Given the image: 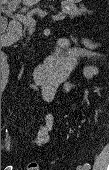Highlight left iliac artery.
I'll return each mask as SVG.
<instances>
[{
    "label": "left iliac artery",
    "mask_w": 109,
    "mask_h": 170,
    "mask_svg": "<svg viewBox=\"0 0 109 170\" xmlns=\"http://www.w3.org/2000/svg\"><path fill=\"white\" fill-rule=\"evenodd\" d=\"M89 169H90V164L85 163V164L83 165V170H89Z\"/></svg>",
    "instance_id": "44dca946"
}]
</instances>
